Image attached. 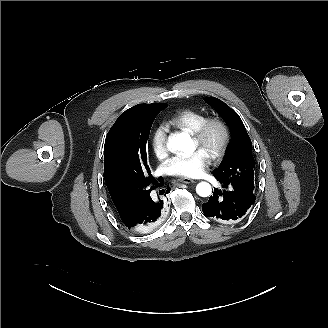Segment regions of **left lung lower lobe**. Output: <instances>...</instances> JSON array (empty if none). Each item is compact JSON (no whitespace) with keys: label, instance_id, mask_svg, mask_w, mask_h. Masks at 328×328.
<instances>
[{"label":"left lung lower lobe","instance_id":"1","mask_svg":"<svg viewBox=\"0 0 328 328\" xmlns=\"http://www.w3.org/2000/svg\"><path fill=\"white\" fill-rule=\"evenodd\" d=\"M220 182L229 190L222 192L214 188L209 201L202 204L204 215L221 223L240 219L255 202L253 190L237 183Z\"/></svg>","mask_w":328,"mask_h":328}]
</instances>
